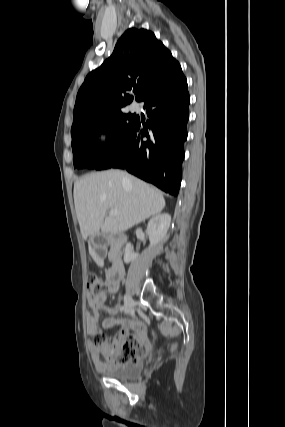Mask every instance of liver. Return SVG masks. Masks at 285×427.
Segmentation results:
<instances>
[{
  "label": "liver",
  "mask_w": 285,
  "mask_h": 427,
  "mask_svg": "<svg viewBox=\"0 0 285 427\" xmlns=\"http://www.w3.org/2000/svg\"><path fill=\"white\" fill-rule=\"evenodd\" d=\"M74 203L84 239L100 231L123 232L165 207L162 193L142 180L119 170L83 176L74 184ZM118 215L106 216L108 210Z\"/></svg>",
  "instance_id": "liver-1"
}]
</instances>
